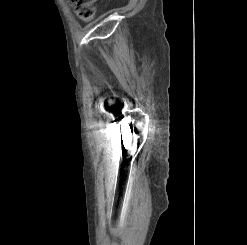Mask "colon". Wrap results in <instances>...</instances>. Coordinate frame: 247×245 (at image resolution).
Here are the masks:
<instances>
[{
    "instance_id": "obj_1",
    "label": "colon",
    "mask_w": 247,
    "mask_h": 245,
    "mask_svg": "<svg viewBox=\"0 0 247 245\" xmlns=\"http://www.w3.org/2000/svg\"><path fill=\"white\" fill-rule=\"evenodd\" d=\"M77 16L85 22L91 21L96 15V4L99 0H68Z\"/></svg>"
}]
</instances>
